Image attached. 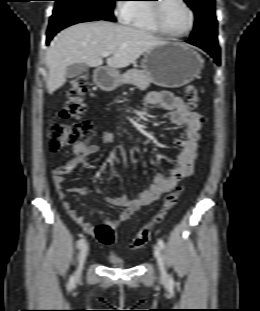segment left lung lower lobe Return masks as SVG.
Here are the masks:
<instances>
[{"mask_svg":"<svg viewBox=\"0 0 260 311\" xmlns=\"http://www.w3.org/2000/svg\"><path fill=\"white\" fill-rule=\"evenodd\" d=\"M187 42L205 50L215 59L216 63L220 65V48L218 45H213V44H208V43L198 42V41H192V40H189Z\"/></svg>","mask_w":260,"mask_h":311,"instance_id":"obj_1","label":"left lung lower lobe"}]
</instances>
